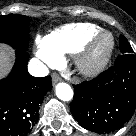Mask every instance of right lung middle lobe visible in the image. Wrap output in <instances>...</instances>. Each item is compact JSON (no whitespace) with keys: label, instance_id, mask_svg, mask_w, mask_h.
Masks as SVG:
<instances>
[{"label":"right lung middle lobe","instance_id":"1","mask_svg":"<svg viewBox=\"0 0 136 136\" xmlns=\"http://www.w3.org/2000/svg\"><path fill=\"white\" fill-rule=\"evenodd\" d=\"M28 32L29 17L18 14L0 16V43L26 50Z\"/></svg>","mask_w":136,"mask_h":136}]
</instances>
